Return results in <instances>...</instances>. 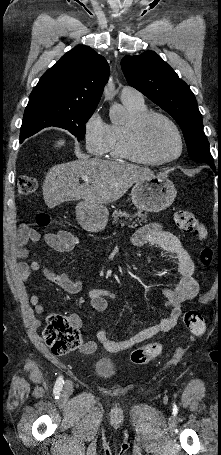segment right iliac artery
Instances as JSON below:
<instances>
[{"label":"right iliac artery","mask_w":221,"mask_h":455,"mask_svg":"<svg viewBox=\"0 0 221 455\" xmlns=\"http://www.w3.org/2000/svg\"><path fill=\"white\" fill-rule=\"evenodd\" d=\"M63 384H64L63 378L59 377L54 386V393L59 394L63 387Z\"/></svg>","instance_id":"right-iliac-artery-1"}]
</instances>
